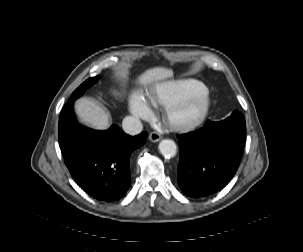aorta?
<instances>
[{"label":"aorta","mask_w":303,"mask_h":252,"mask_svg":"<svg viewBox=\"0 0 303 252\" xmlns=\"http://www.w3.org/2000/svg\"><path fill=\"white\" fill-rule=\"evenodd\" d=\"M159 151L164 157H173L177 153L176 143L171 139H163L159 143Z\"/></svg>","instance_id":"762f6f07"}]
</instances>
